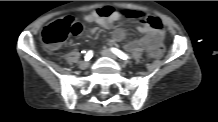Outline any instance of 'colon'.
I'll return each instance as SVG.
<instances>
[{"instance_id":"colon-1","label":"colon","mask_w":218,"mask_h":122,"mask_svg":"<svg viewBox=\"0 0 218 122\" xmlns=\"http://www.w3.org/2000/svg\"><path fill=\"white\" fill-rule=\"evenodd\" d=\"M127 18L140 20L150 24L152 27H162L160 19L152 15L136 11H124ZM82 31V25L77 22L72 16H64L47 24L42 31V41L49 49H55L69 36L78 35ZM166 51L165 46H158L157 51H154V58L159 59L164 56Z\"/></svg>"}]
</instances>
